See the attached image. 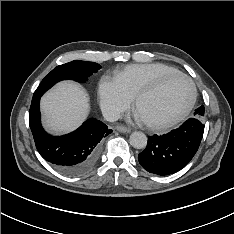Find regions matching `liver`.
<instances>
[{
  "label": "liver",
  "mask_w": 234,
  "mask_h": 234,
  "mask_svg": "<svg viewBox=\"0 0 234 234\" xmlns=\"http://www.w3.org/2000/svg\"><path fill=\"white\" fill-rule=\"evenodd\" d=\"M89 98L76 83H58L41 99L44 126L53 133L75 130L89 113Z\"/></svg>",
  "instance_id": "6515ba94"
}]
</instances>
